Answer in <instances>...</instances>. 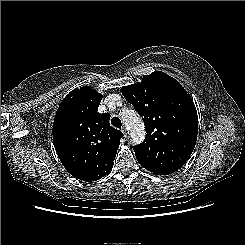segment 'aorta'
<instances>
[{
	"mask_svg": "<svg viewBox=\"0 0 245 245\" xmlns=\"http://www.w3.org/2000/svg\"><path fill=\"white\" fill-rule=\"evenodd\" d=\"M123 121L129 130L132 142L141 143L145 137V129L139 115L133 110H128L123 114Z\"/></svg>",
	"mask_w": 245,
	"mask_h": 245,
	"instance_id": "762f6f07",
	"label": "aorta"
}]
</instances>
